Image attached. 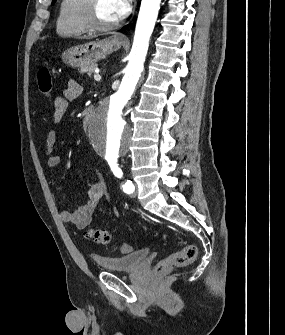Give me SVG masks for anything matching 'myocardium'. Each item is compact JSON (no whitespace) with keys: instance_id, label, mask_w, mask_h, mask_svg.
<instances>
[{"instance_id":"myocardium-1","label":"myocardium","mask_w":285,"mask_h":335,"mask_svg":"<svg viewBox=\"0 0 285 335\" xmlns=\"http://www.w3.org/2000/svg\"><path fill=\"white\" fill-rule=\"evenodd\" d=\"M86 23L87 28L90 32L100 34V33H107L112 31L117 26V22H114L110 25H103L97 21L96 18V10L97 5L96 1H86Z\"/></svg>"}]
</instances>
